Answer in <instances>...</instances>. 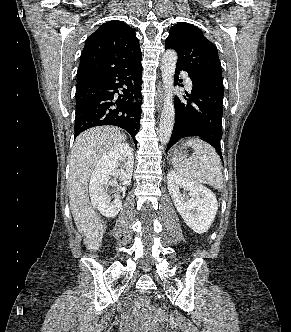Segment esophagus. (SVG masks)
<instances>
[{"instance_id":"esophagus-1","label":"esophagus","mask_w":291,"mask_h":332,"mask_svg":"<svg viewBox=\"0 0 291 332\" xmlns=\"http://www.w3.org/2000/svg\"><path fill=\"white\" fill-rule=\"evenodd\" d=\"M164 97V88L161 83L158 86V108H161Z\"/></svg>"}]
</instances>
